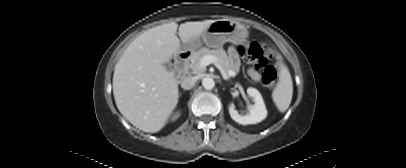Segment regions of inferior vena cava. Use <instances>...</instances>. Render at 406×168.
<instances>
[{
	"label": "inferior vena cava",
	"instance_id": "inferior-vena-cava-1",
	"mask_svg": "<svg viewBox=\"0 0 406 168\" xmlns=\"http://www.w3.org/2000/svg\"><path fill=\"white\" fill-rule=\"evenodd\" d=\"M196 79L193 76H187L181 81V87L184 90H190L195 85Z\"/></svg>",
	"mask_w": 406,
	"mask_h": 168
}]
</instances>
